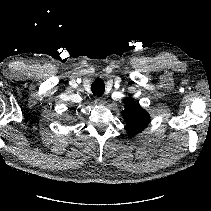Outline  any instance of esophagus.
<instances>
[{
  "label": "esophagus",
  "mask_w": 211,
  "mask_h": 211,
  "mask_svg": "<svg viewBox=\"0 0 211 211\" xmlns=\"http://www.w3.org/2000/svg\"><path fill=\"white\" fill-rule=\"evenodd\" d=\"M96 102H97L99 105H102V106H104V105L106 104L105 98H102V97L96 98Z\"/></svg>",
  "instance_id": "esophagus-1"
}]
</instances>
